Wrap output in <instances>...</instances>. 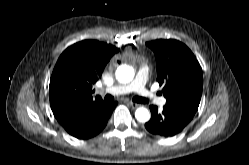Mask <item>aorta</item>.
<instances>
[{
  "instance_id": "762f6f07",
  "label": "aorta",
  "mask_w": 249,
  "mask_h": 165,
  "mask_svg": "<svg viewBox=\"0 0 249 165\" xmlns=\"http://www.w3.org/2000/svg\"><path fill=\"white\" fill-rule=\"evenodd\" d=\"M116 77L121 83H129L134 78V69L128 65H121L116 71ZM135 117L139 122H147L150 119V112L147 108L140 107L135 111Z\"/></svg>"
}]
</instances>
